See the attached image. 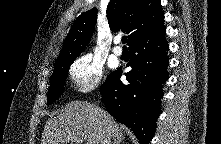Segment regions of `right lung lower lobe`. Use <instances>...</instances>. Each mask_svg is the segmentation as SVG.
<instances>
[{
  "label": "right lung lower lobe",
  "instance_id": "obj_1",
  "mask_svg": "<svg viewBox=\"0 0 221 144\" xmlns=\"http://www.w3.org/2000/svg\"><path fill=\"white\" fill-rule=\"evenodd\" d=\"M162 23L154 30L129 44L131 60L125 73L128 84L120 81L122 71L110 73L100 93L108 112L120 123L130 127L141 144L153 138L156 120L160 114L162 84L167 81L169 49Z\"/></svg>",
  "mask_w": 221,
  "mask_h": 144
}]
</instances>
